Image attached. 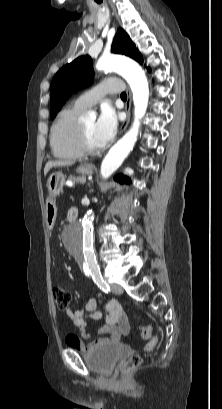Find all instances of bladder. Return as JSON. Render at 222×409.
Returning <instances> with one entry per match:
<instances>
[{
  "label": "bladder",
  "instance_id": "1",
  "mask_svg": "<svg viewBox=\"0 0 222 409\" xmlns=\"http://www.w3.org/2000/svg\"><path fill=\"white\" fill-rule=\"evenodd\" d=\"M122 354L118 343H107L90 349L84 356L86 365L95 373L108 375Z\"/></svg>",
  "mask_w": 222,
  "mask_h": 409
}]
</instances>
